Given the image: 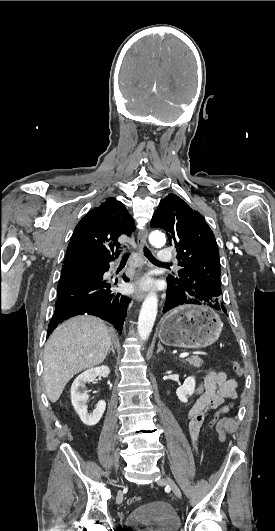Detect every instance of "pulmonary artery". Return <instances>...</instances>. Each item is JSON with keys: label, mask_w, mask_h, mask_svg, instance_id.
Wrapping results in <instances>:
<instances>
[{"label": "pulmonary artery", "mask_w": 275, "mask_h": 531, "mask_svg": "<svg viewBox=\"0 0 275 531\" xmlns=\"http://www.w3.org/2000/svg\"><path fill=\"white\" fill-rule=\"evenodd\" d=\"M155 256L162 264H171L174 261L173 253L170 250L159 249L156 251Z\"/></svg>", "instance_id": "pulmonary-artery-1"}]
</instances>
